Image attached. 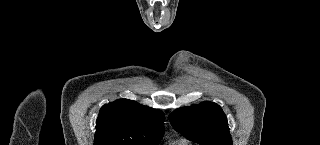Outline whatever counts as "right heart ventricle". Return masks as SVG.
<instances>
[{"label": "right heart ventricle", "mask_w": 320, "mask_h": 145, "mask_svg": "<svg viewBox=\"0 0 320 145\" xmlns=\"http://www.w3.org/2000/svg\"><path fill=\"white\" fill-rule=\"evenodd\" d=\"M170 145H191L185 138H178L171 142Z\"/></svg>", "instance_id": "e07e8e85"}]
</instances>
